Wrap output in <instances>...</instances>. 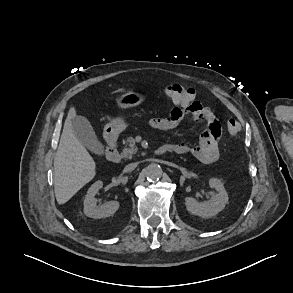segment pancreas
<instances>
[{
    "label": "pancreas",
    "instance_id": "pancreas-1",
    "mask_svg": "<svg viewBox=\"0 0 293 293\" xmlns=\"http://www.w3.org/2000/svg\"><path fill=\"white\" fill-rule=\"evenodd\" d=\"M138 151V148L135 144V139L133 137H129L126 141V148L123 149L122 157L131 159L134 154H136Z\"/></svg>",
    "mask_w": 293,
    "mask_h": 293
}]
</instances>
